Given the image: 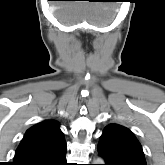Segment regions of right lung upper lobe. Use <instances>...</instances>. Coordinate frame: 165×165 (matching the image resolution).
<instances>
[{"mask_svg": "<svg viewBox=\"0 0 165 165\" xmlns=\"http://www.w3.org/2000/svg\"><path fill=\"white\" fill-rule=\"evenodd\" d=\"M64 138L59 124L43 121L27 130L18 146L13 165H27L47 151V147Z\"/></svg>", "mask_w": 165, "mask_h": 165, "instance_id": "right-lung-upper-lobe-1", "label": "right lung upper lobe"}]
</instances>
